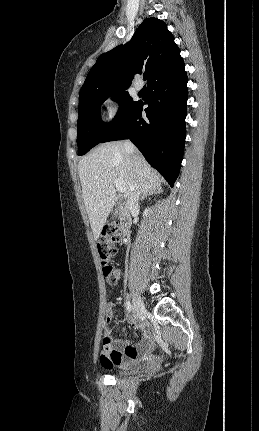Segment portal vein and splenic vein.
<instances>
[{"label":"portal vein and splenic vein","instance_id":"1","mask_svg":"<svg viewBox=\"0 0 259 431\" xmlns=\"http://www.w3.org/2000/svg\"><path fill=\"white\" fill-rule=\"evenodd\" d=\"M114 185L119 192L123 193L125 191V185L120 180H115Z\"/></svg>","mask_w":259,"mask_h":431}]
</instances>
